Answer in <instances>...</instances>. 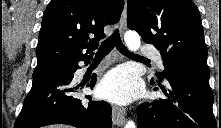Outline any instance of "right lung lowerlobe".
<instances>
[{
  "label": "right lung lower lobe",
  "instance_id": "obj_1",
  "mask_svg": "<svg viewBox=\"0 0 221 128\" xmlns=\"http://www.w3.org/2000/svg\"><path fill=\"white\" fill-rule=\"evenodd\" d=\"M79 62V61H78ZM78 62L34 77L32 88L15 122V128H38L51 124H67L77 128H111V106L105 101L83 105L73 97L79 85L73 83ZM88 63L89 61H85ZM96 82L93 74L89 87Z\"/></svg>",
  "mask_w": 221,
  "mask_h": 128
}]
</instances>
